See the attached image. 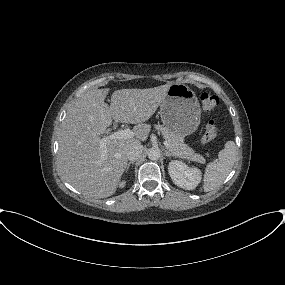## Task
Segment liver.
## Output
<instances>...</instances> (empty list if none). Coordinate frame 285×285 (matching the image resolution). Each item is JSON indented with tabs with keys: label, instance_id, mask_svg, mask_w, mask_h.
<instances>
[{
	"label": "liver",
	"instance_id": "6515ba94",
	"mask_svg": "<svg viewBox=\"0 0 285 285\" xmlns=\"http://www.w3.org/2000/svg\"><path fill=\"white\" fill-rule=\"evenodd\" d=\"M172 84L116 90L110 106L105 103L109 88L87 91L68 110L62 123L58 164L63 178L87 197L100 199L113 195L126 168L128 150L147 139L151 126L144 122L161 105ZM113 119L136 124L134 136L109 140L103 153L100 134Z\"/></svg>",
	"mask_w": 285,
	"mask_h": 285
}]
</instances>
